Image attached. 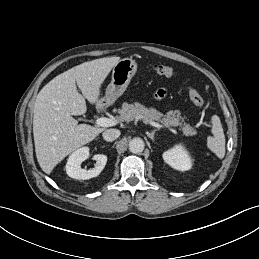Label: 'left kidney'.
<instances>
[{"label":"left kidney","mask_w":259,"mask_h":259,"mask_svg":"<svg viewBox=\"0 0 259 259\" xmlns=\"http://www.w3.org/2000/svg\"><path fill=\"white\" fill-rule=\"evenodd\" d=\"M163 159L168 165L176 170L186 171L192 167L190 156L180 145L164 152Z\"/></svg>","instance_id":"1"}]
</instances>
